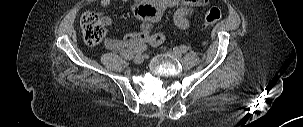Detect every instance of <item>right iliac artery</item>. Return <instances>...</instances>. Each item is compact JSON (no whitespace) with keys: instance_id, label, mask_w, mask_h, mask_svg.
Instances as JSON below:
<instances>
[{"instance_id":"right-iliac-artery-1","label":"right iliac artery","mask_w":303,"mask_h":127,"mask_svg":"<svg viewBox=\"0 0 303 127\" xmlns=\"http://www.w3.org/2000/svg\"><path fill=\"white\" fill-rule=\"evenodd\" d=\"M146 49H147L146 45H139V46H137V47L134 48V53L141 54L144 51H146Z\"/></svg>"}]
</instances>
